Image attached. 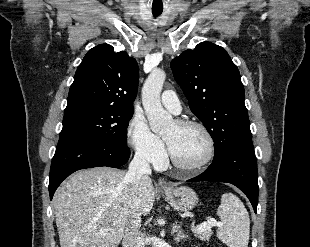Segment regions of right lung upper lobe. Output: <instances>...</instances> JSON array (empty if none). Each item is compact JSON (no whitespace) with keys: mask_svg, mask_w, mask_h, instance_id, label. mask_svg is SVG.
Wrapping results in <instances>:
<instances>
[{"mask_svg":"<svg viewBox=\"0 0 310 247\" xmlns=\"http://www.w3.org/2000/svg\"><path fill=\"white\" fill-rule=\"evenodd\" d=\"M139 70L125 51L108 44L90 49L78 66L68 95L67 109L77 107L134 110Z\"/></svg>","mask_w":310,"mask_h":247,"instance_id":"cb5924a9","label":"right lung upper lobe"}]
</instances>
